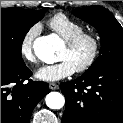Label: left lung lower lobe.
Instances as JSON below:
<instances>
[{
  "label": "left lung lower lobe",
  "instance_id": "left-lung-lower-lobe-1",
  "mask_svg": "<svg viewBox=\"0 0 123 123\" xmlns=\"http://www.w3.org/2000/svg\"><path fill=\"white\" fill-rule=\"evenodd\" d=\"M62 123H123V61L109 62L61 83Z\"/></svg>",
  "mask_w": 123,
  "mask_h": 123
}]
</instances>
